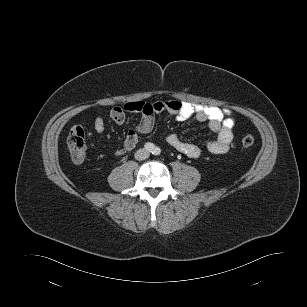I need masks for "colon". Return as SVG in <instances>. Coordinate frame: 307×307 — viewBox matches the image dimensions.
<instances>
[{
    "label": "colon",
    "mask_w": 307,
    "mask_h": 307,
    "mask_svg": "<svg viewBox=\"0 0 307 307\" xmlns=\"http://www.w3.org/2000/svg\"><path fill=\"white\" fill-rule=\"evenodd\" d=\"M240 143L243 147L249 148L254 144V137L250 134L243 135ZM68 148L72 159L75 162H82L85 158L87 144L84 129L81 126H74L68 136Z\"/></svg>",
    "instance_id": "colon-1"
}]
</instances>
